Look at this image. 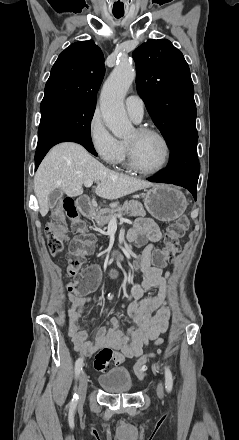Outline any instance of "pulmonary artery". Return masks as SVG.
<instances>
[{
  "label": "pulmonary artery",
  "mask_w": 239,
  "mask_h": 440,
  "mask_svg": "<svg viewBox=\"0 0 239 440\" xmlns=\"http://www.w3.org/2000/svg\"><path fill=\"white\" fill-rule=\"evenodd\" d=\"M126 110L129 116L136 122H140L144 114L143 100L137 95H130L125 100Z\"/></svg>",
  "instance_id": "1"
}]
</instances>
